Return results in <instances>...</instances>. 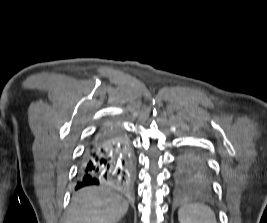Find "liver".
I'll return each mask as SVG.
<instances>
[{
    "mask_svg": "<svg viewBox=\"0 0 267 223\" xmlns=\"http://www.w3.org/2000/svg\"><path fill=\"white\" fill-rule=\"evenodd\" d=\"M128 208V202L111 190L88 187L73 197L67 223H117Z\"/></svg>",
    "mask_w": 267,
    "mask_h": 223,
    "instance_id": "liver-1",
    "label": "liver"
}]
</instances>
